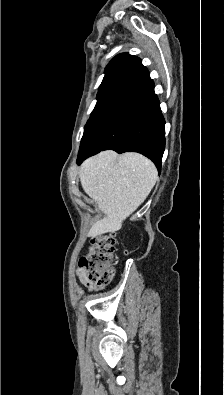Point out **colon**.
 Wrapping results in <instances>:
<instances>
[{"mask_svg": "<svg viewBox=\"0 0 224 395\" xmlns=\"http://www.w3.org/2000/svg\"><path fill=\"white\" fill-rule=\"evenodd\" d=\"M117 245L116 233L105 232L94 236L81 258V267L90 280L97 284L109 282L114 275L112 260Z\"/></svg>", "mask_w": 224, "mask_h": 395, "instance_id": "colon-1", "label": "colon"}]
</instances>
